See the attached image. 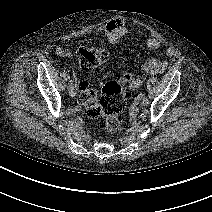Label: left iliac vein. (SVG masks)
I'll list each match as a JSON object with an SVG mask.
<instances>
[{"label": "left iliac vein", "instance_id": "obj_1", "mask_svg": "<svg viewBox=\"0 0 212 212\" xmlns=\"http://www.w3.org/2000/svg\"><path fill=\"white\" fill-rule=\"evenodd\" d=\"M137 100H138L142 105H144V103H143V94H139L138 97H137Z\"/></svg>", "mask_w": 212, "mask_h": 212}]
</instances>
